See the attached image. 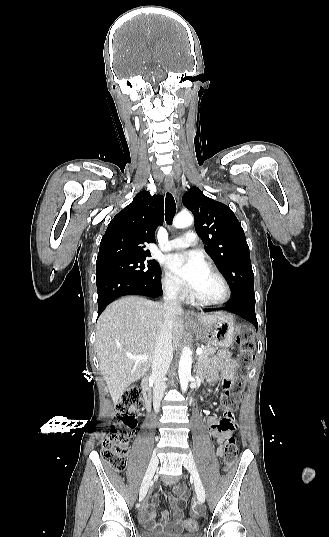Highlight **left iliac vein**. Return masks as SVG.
<instances>
[{
    "mask_svg": "<svg viewBox=\"0 0 329 537\" xmlns=\"http://www.w3.org/2000/svg\"><path fill=\"white\" fill-rule=\"evenodd\" d=\"M184 467L190 472L193 478L199 504H203L205 502V490L200 479L198 470L196 468L194 459L191 455H188L187 458L184 460Z\"/></svg>",
    "mask_w": 329,
    "mask_h": 537,
    "instance_id": "left-iliac-vein-1",
    "label": "left iliac vein"
}]
</instances>
